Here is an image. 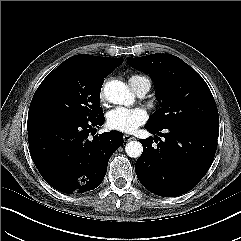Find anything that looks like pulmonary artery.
Returning <instances> with one entry per match:
<instances>
[{
	"label": "pulmonary artery",
	"mask_w": 241,
	"mask_h": 241,
	"mask_svg": "<svg viewBox=\"0 0 241 241\" xmlns=\"http://www.w3.org/2000/svg\"><path fill=\"white\" fill-rule=\"evenodd\" d=\"M150 83L148 82H143L141 84H139L136 88H134L133 90L135 91V93L139 96V97H143L150 89Z\"/></svg>",
	"instance_id": "pulmonary-artery-1"
}]
</instances>
